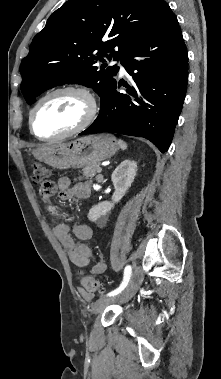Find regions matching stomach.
Returning <instances> with one entry per match:
<instances>
[{"instance_id": "stomach-1", "label": "stomach", "mask_w": 221, "mask_h": 379, "mask_svg": "<svg viewBox=\"0 0 221 379\" xmlns=\"http://www.w3.org/2000/svg\"><path fill=\"white\" fill-rule=\"evenodd\" d=\"M116 138L110 134L90 135L71 142H58L39 148L34 156L57 169L99 165L118 150Z\"/></svg>"}]
</instances>
